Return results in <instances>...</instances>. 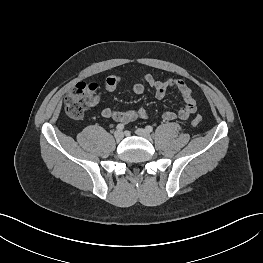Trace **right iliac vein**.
Here are the masks:
<instances>
[{
	"mask_svg": "<svg viewBox=\"0 0 263 263\" xmlns=\"http://www.w3.org/2000/svg\"><path fill=\"white\" fill-rule=\"evenodd\" d=\"M114 137H115V139L117 140V141H120V140H122L123 139V137H124V133L122 132V131H116L115 133H114Z\"/></svg>",
	"mask_w": 263,
	"mask_h": 263,
	"instance_id": "1",
	"label": "right iliac vein"
}]
</instances>
